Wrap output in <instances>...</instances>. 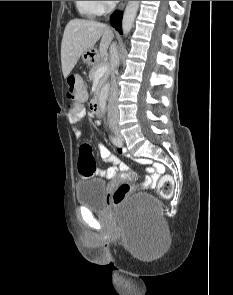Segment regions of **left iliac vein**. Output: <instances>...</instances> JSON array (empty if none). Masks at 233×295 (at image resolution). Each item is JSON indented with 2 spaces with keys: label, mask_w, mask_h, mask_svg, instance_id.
Returning <instances> with one entry per match:
<instances>
[{
  "label": "left iliac vein",
  "mask_w": 233,
  "mask_h": 295,
  "mask_svg": "<svg viewBox=\"0 0 233 295\" xmlns=\"http://www.w3.org/2000/svg\"><path fill=\"white\" fill-rule=\"evenodd\" d=\"M117 137H118V139H119L120 141H123V137H122V135H121L120 133L117 134Z\"/></svg>",
  "instance_id": "left-iliac-vein-1"
}]
</instances>
